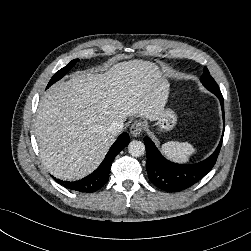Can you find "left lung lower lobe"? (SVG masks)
<instances>
[{
	"mask_svg": "<svg viewBox=\"0 0 251 251\" xmlns=\"http://www.w3.org/2000/svg\"><path fill=\"white\" fill-rule=\"evenodd\" d=\"M211 92L220 100L224 120L223 96L220 91ZM144 143L147 154L146 169L150 181L164 191L179 192L200 181L213 168L222 139L211 156L199 163L189 165L174 163L164 158L148 136L144 138Z\"/></svg>",
	"mask_w": 251,
	"mask_h": 251,
	"instance_id": "left-lung-lower-lobe-1",
	"label": "left lung lower lobe"
}]
</instances>
